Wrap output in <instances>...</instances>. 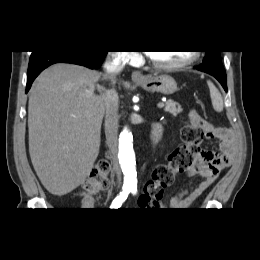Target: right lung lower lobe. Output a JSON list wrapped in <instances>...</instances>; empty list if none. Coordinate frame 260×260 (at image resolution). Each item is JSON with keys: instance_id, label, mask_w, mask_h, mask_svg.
Masks as SVG:
<instances>
[{"instance_id": "obj_1", "label": "right lung lower lobe", "mask_w": 260, "mask_h": 260, "mask_svg": "<svg viewBox=\"0 0 260 260\" xmlns=\"http://www.w3.org/2000/svg\"><path fill=\"white\" fill-rule=\"evenodd\" d=\"M107 51H32L28 73L26 93L29 91L32 82L39 75V73L48 66L59 63H73L88 68H98L103 62Z\"/></svg>"}]
</instances>
